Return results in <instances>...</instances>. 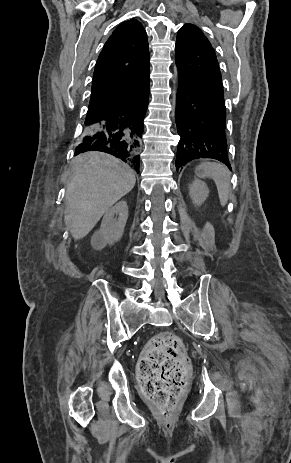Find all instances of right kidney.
<instances>
[{"instance_id": "right-kidney-1", "label": "right kidney", "mask_w": 291, "mask_h": 463, "mask_svg": "<svg viewBox=\"0 0 291 463\" xmlns=\"http://www.w3.org/2000/svg\"><path fill=\"white\" fill-rule=\"evenodd\" d=\"M115 215L118 218H115ZM127 219L128 206L125 201H120L108 209L103 217L100 229L91 238L92 247L101 250L107 244H114L119 241L123 235Z\"/></svg>"}]
</instances>
